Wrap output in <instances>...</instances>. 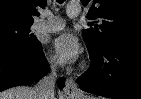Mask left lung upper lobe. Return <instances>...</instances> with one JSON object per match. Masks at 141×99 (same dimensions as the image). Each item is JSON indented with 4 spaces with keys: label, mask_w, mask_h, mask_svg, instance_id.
Segmentation results:
<instances>
[{
    "label": "left lung upper lobe",
    "mask_w": 141,
    "mask_h": 99,
    "mask_svg": "<svg viewBox=\"0 0 141 99\" xmlns=\"http://www.w3.org/2000/svg\"><path fill=\"white\" fill-rule=\"evenodd\" d=\"M87 5L92 0H81ZM94 5V6H93ZM87 18L89 29L83 38L90 51H98L116 42L141 44L140 0H93Z\"/></svg>",
    "instance_id": "obj_1"
}]
</instances>
